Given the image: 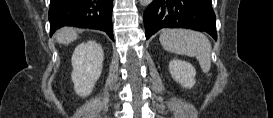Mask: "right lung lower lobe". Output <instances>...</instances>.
<instances>
[{"instance_id":"obj_1","label":"right lung lower lobe","mask_w":273,"mask_h":118,"mask_svg":"<svg viewBox=\"0 0 273 118\" xmlns=\"http://www.w3.org/2000/svg\"><path fill=\"white\" fill-rule=\"evenodd\" d=\"M113 0H50V36L63 26L105 31L113 39Z\"/></svg>"}]
</instances>
